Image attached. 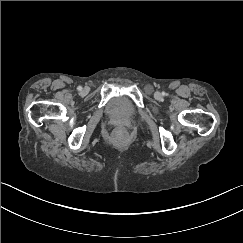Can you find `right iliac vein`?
<instances>
[{
    "label": "right iliac vein",
    "mask_w": 243,
    "mask_h": 243,
    "mask_svg": "<svg viewBox=\"0 0 243 243\" xmlns=\"http://www.w3.org/2000/svg\"><path fill=\"white\" fill-rule=\"evenodd\" d=\"M81 93H82V94H86V93H87V89H83V90L81 91Z\"/></svg>",
    "instance_id": "1"
}]
</instances>
